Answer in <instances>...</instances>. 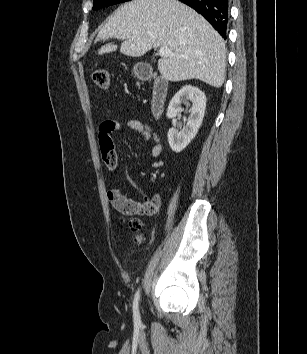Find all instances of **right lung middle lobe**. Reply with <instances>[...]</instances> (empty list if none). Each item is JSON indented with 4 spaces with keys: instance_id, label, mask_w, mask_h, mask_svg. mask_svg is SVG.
<instances>
[{
    "instance_id": "right-lung-middle-lobe-1",
    "label": "right lung middle lobe",
    "mask_w": 307,
    "mask_h": 354,
    "mask_svg": "<svg viewBox=\"0 0 307 354\" xmlns=\"http://www.w3.org/2000/svg\"><path fill=\"white\" fill-rule=\"evenodd\" d=\"M130 0H94L93 9H100L106 6L114 5L121 2H126Z\"/></svg>"
}]
</instances>
